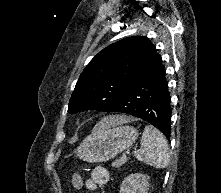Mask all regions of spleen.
<instances>
[{"label":"spleen","instance_id":"spleen-1","mask_svg":"<svg viewBox=\"0 0 221 193\" xmlns=\"http://www.w3.org/2000/svg\"><path fill=\"white\" fill-rule=\"evenodd\" d=\"M136 158L155 168H166L170 161V155L164 135L152 126H145L141 149L136 152Z\"/></svg>","mask_w":221,"mask_h":193}]
</instances>
